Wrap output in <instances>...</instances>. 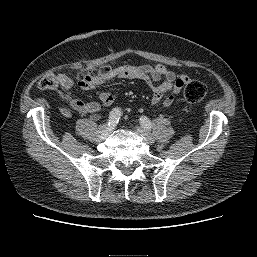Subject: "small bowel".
I'll list each match as a JSON object with an SVG mask.
<instances>
[{
  "label": "small bowel",
  "instance_id": "small-bowel-1",
  "mask_svg": "<svg viewBox=\"0 0 257 257\" xmlns=\"http://www.w3.org/2000/svg\"><path fill=\"white\" fill-rule=\"evenodd\" d=\"M59 85L57 94L59 98L72 110L84 114H96L101 104L110 106L115 101V96L108 90L98 92L99 102H84L73 93L74 82L65 74L56 76ZM115 79H138L146 83L153 91L151 105L162 101L165 107L173 104L175 95L179 94L185 84L190 81L184 73H175L165 66L156 64L123 65L110 69L108 74L91 83H79L82 90H93ZM70 109H64L67 116L71 115Z\"/></svg>",
  "mask_w": 257,
  "mask_h": 257
}]
</instances>
